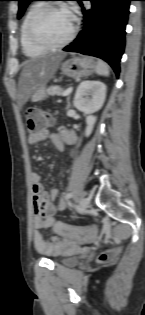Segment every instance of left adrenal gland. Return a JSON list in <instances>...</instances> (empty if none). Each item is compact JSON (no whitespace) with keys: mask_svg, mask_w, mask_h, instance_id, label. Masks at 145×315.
<instances>
[{"mask_svg":"<svg viewBox=\"0 0 145 315\" xmlns=\"http://www.w3.org/2000/svg\"><path fill=\"white\" fill-rule=\"evenodd\" d=\"M71 104H70V96H68L67 98V109L70 108Z\"/></svg>","mask_w":145,"mask_h":315,"instance_id":"1","label":"left adrenal gland"}]
</instances>
